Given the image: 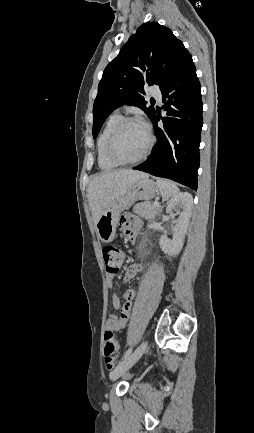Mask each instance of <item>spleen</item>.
Listing matches in <instances>:
<instances>
[{
    "instance_id": "3e777b00",
    "label": "spleen",
    "mask_w": 254,
    "mask_h": 433,
    "mask_svg": "<svg viewBox=\"0 0 254 433\" xmlns=\"http://www.w3.org/2000/svg\"><path fill=\"white\" fill-rule=\"evenodd\" d=\"M156 184L164 198L176 196L179 193L177 185L170 180L158 178Z\"/></svg>"
}]
</instances>
